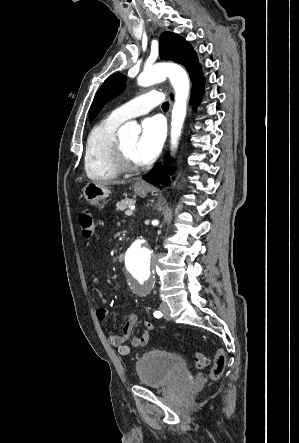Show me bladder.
<instances>
[{
  "mask_svg": "<svg viewBox=\"0 0 299 443\" xmlns=\"http://www.w3.org/2000/svg\"><path fill=\"white\" fill-rule=\"evenodd\" d=\"M139 383L152 389H162L191 379V373L177 354L151 350L144 352L135 362Z\"/></svg>",
  "mask_w": 299,
  "mask_h": 443,
  "instance_id": "1",
  "label": "bladder"
}]
</instances>
